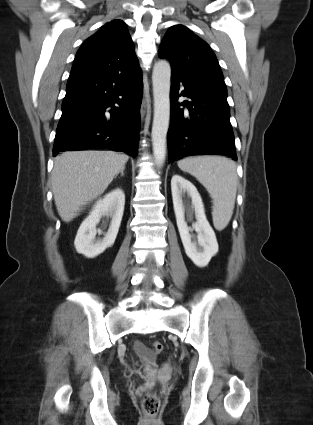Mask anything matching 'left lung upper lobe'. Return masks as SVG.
I'll return each instance as SVG.
<instances>
[{
    "label": "left lung upper lobe",
    "instance_id": "obj_1",
    "mask_svg": "<svg viewBox=\"0 0 313 425\" xmlns=\"http://www.w3.org/2000/svg\"><path fill=\"white\" fill-rule=\"evenodd\" d=\"M159 57L170 61L171 74L195 85L227 91L215 54L205 41L187 27H170L162 41Z\"/></svg>",
    "mask_w": 313,
    "mask_h": 425
}]
</instances>
